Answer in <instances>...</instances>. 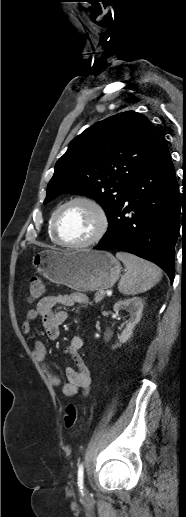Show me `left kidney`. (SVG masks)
Here are the masks:
<instances>
[{
  "label": "left kidney",
  "mask_w": 186,
  "mask_h": 517,
  "mask_svg": "<svg viewBox=\"0 0 186 517\" xmlns=\"http://www.w3.org/2000/svg\"><path fill=\"white\" fill-rule=\"evenodd\" d=\"M113 310L119 312L126 310L129 313L130 318L126 322V327L118 337L119 343L112 346L113 349L117 348L123 343H126L132 336L133 330L136 324L140 321L143 311V300L140 297H133L131 299L118 301L115 303Z\"/></svg>",
  "instance_id": "left-kidney-1"
}]
</instances>
